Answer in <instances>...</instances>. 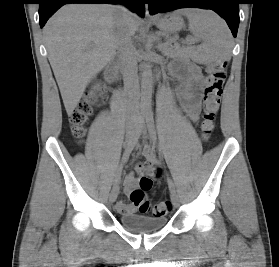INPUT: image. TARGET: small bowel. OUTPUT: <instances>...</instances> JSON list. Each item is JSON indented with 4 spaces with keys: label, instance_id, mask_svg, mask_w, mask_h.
<instances>
[{
    "label": "small bowel",
    "instance_id": "c3829d8e",
    "mask_svg": "<svg viewBox=\"0 0 279 267\" xmlns=\"http://www.w3.org/2000/svg\"><path fill=\"white\" fill-rule=\"evenodd\" d=\"M172 73L178 77L181 82L177 89V96L181 106L187 116L192 121H196L200 112V101L197 91L203 83V78L200 74V71L194 65H186L178 69H173ZM144 156L148 166L154 165L156 163V158L149 148L144 150ZM124 182L126 192L130 193L135 190L137 178L134 174H127ZM115 207L120 214H129L135 212V206L133 204L123 201H118Z\"/></svg>",
    "mask_w": 279,
    "mask_h": 267
}]
</instances>
